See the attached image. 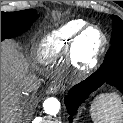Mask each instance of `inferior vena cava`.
<instances>
[{
  "label": "inferior vena cava",
  "mask_w": 123,
  "mask_h": 123,
  "mask_svg": "<svg viewBox=\"0 0 123 123\" xmlns=\"http://www.w3.org/2000/svg\"><path fill=\"white\" fill-rule=\"evenodd\" d=\"M40 85V80L35 75L26 76L20 82V87L22 91L26 93H32L34 91H37Z\"/></svg>",
  "instance_id": "obj_1"
}]
</instances>
